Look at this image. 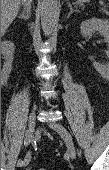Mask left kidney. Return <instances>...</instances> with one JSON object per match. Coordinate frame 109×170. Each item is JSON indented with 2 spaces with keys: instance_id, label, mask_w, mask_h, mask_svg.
<instances>
[{
  "instance_id": "obj_1",
  "label": "left kidney",
  "mask_w": 109,
  "mask_h": 170,
  "mask_svg": "<svg viewBox=\"0 0 109 170\" xmlns=\"http://www.w3.org/2000/svg\"><path fill=\"white\" fill-rule=\"evenodd\" d=\"M81 34L85 37L93 35L98 32L104 37L106 41H109V23L106 20L91 18L85 20L80 25ZM93 66L100 74H107L109 71V64L93 62Z\"/></svg>"
}]
</instances>
